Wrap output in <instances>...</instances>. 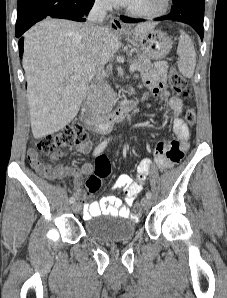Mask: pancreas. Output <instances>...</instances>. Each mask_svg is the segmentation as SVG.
Returning <instances> with one entry per match:
<instances>
[{"mask_svg": "<svg viewBox=\"0 0 227 298\" xmlns=\"http://www.w3.org/2000/svg\"><path fill=\"white\" fill-rule=\"evenodd\" d=\"M137 65V71L143 73L152 67L151 59L145 54H139L133 61ZM116 93L107 84H103L96 95V111L104 114L111 111L113 105L117 102L118 98Z\"/></svg>", "mask_w": 227, "mask_h": 298, "instance_id": "1", "label": "pancreas"}]
</instances>
